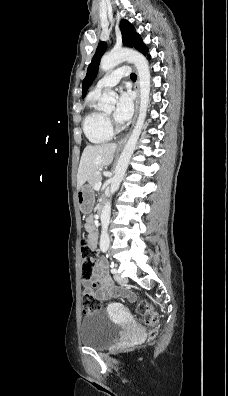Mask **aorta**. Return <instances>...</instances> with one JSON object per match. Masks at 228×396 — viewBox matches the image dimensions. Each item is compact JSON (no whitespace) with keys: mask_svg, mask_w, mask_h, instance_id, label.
I'll return each mask as SVG.
<instances>
[{"mask_svg":"<svg viewBox=\"0 0 228 396\" xmlns=\"http://www.w3.org/2000/svg\"><path fill=\"white\" fill-rule=\"evenodd\" d=\"M128 61L133 63L138 70L139 86H140V106L137 122L134 129L120 155L115 168V174L111 178L110 194H114L118 190L119 185L125 175L130 158L135 150L137 141L142 131L144 121L146 119L149 95H150V70L146 58L138 51L132 49L112 50L101 58L100 68L108 71L118 64ZM117 94L113 91L104 92L100 98L99 107L102 110L113 108L117 101ZM111 215V201H107L101 213V235L100 249L106 251L109 248L110 239L108 234V226Z\"/></svg>","mask_w":228,"mask_h":396,"instance_id":"aorta-1","label":"aorta"}]
</instances>
